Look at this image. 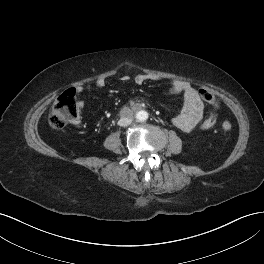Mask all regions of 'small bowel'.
<instances>
[{"instance_id":"1","label":"small bowel","mask_w":264,"mask_h":264,"mask_svg":"<svg viewBox=\"0 0 264 264\" xmlns=\"http://www.w3.org/2000/svg\"><path fill=\"white\" fill-rule=\"evenodd\" d=\"M129 80L128 76H123L121 81L126 82ZM157 80L149 74H138L135 76L134 81L137 85H142L147 81ZM97 88H104L106 81L104 79H98L95 83ZM84 90V87L80 86L77 88L78 92ZM169 92L171 94H183L184 105L181 112L172 119V123L175 127L183 132L192 131L196 125L200 122L203 116L204 103L200 97L199 92L194 86L183 80H173L171 82ZM79 121H76L78 123Z\"/></svg>"}]
</instances>
